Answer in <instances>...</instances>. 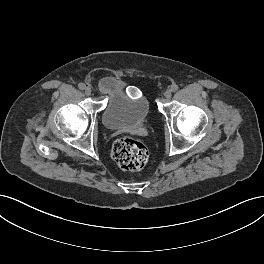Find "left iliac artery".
<instances>
[{
    "label": "left iliac artery",
    "instance_id": "44dca946",
    "mask_svg": "<svg viewBox=\"0 0 264 264\" xmlns=\"http://www.w3.org/2000/svg\"><path fill=\"white\" fill-rule=\"evenodd\" d=\"M178 88H179L178 85L174 84L171 87V91L176 92L178 90Z\"/></svg>",
    "mask_w": 264,
    "mask_h": 264
}]
</instances>
